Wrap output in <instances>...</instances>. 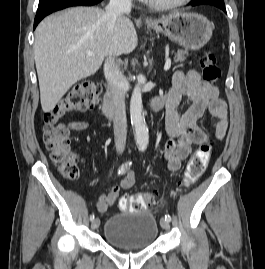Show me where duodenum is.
I'll return each instance as SVG.
<instances>
[{
	"label": "duodenum",
	"instance_id": "1",
	"mask_svg": "<svg viewBox=\"0 0 265 269\" xmlns=\"http://www.w3.org/2000/svg\"><path fill=\"white\" fill-rule=\"evenodd\" d=\"M163 105V98L155 97L150 101L149 109L151 111L157 112L163 107ZM103 112L108 117H112L115 113L114 93L109 86H107V90L104 97Z\"/></svg>",
	"mask_w": 265,
	"mask_h": 269
}]
</instances>
